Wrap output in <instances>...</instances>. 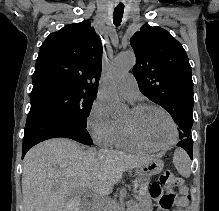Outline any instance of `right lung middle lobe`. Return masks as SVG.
<instances>
[{
  "label": "right lung middle lobe",
  "mask_w": 219,
  "mask_h": 211,
  "mask_svg": "<svg viewBox=\"0 0 219 211\" xmlns=\"http://www.w3.org/2000/svg\"><path fill=\"white\" fill-rule=\"evenodd\" d=\"M96 95L59 84L45 86L30 94L31 107L52 108L86 125Z\"/></svg>",
  "instance_id": "right-lung-middle-lobe-1"
}]
</instances>
